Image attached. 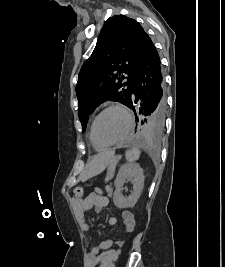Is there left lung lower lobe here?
I'll list each match as a JSON object with an SVG mask.
<instances>
[{"label":"left lung lower lobe","instance_id":"0a47b994","mask_svg":"<svg viewBox=\"0 0 225 267\" xmlns=\"http://www.w3.org/2000/svg\"><path fill=\"white\" fill-rule=\"evenodd\" d=\"M129 108L134 112L137 109L140 118L152 116L157 124L165 121L166 100L161 62L148 35L137 61Z\"/></svg>","mask_w":225,"mask_h":267}]
</instances>
